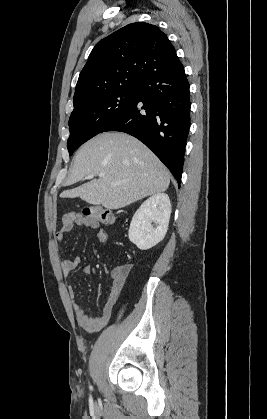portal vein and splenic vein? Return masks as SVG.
Listing matches in <instances>:
<instances>
[{
    "mask_svg": "<svg viewBox=\"0 0 267 419\" xmlns=\"http://www.w3.org/2000/svg\"><path fill=\"white\" fill-rule=\"evenodd\" d=\"M103 176H104L103 173L99 174V177H103ZM93 177H94V175H88L86 178L87 179H92ZM116 185H118V183H112V186H116Z\"/></svg>",
    "mask_w": 267,
    "mask_h": 419,
    "instance_id": "18ae733b",
    "label": "portal vein and splenic vein"
}]
</instances>
